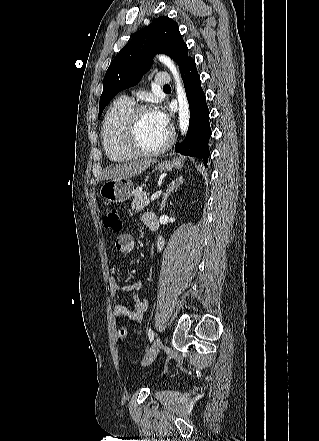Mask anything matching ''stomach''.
Instances as JSON below:
<instances>
[{
  "label": "stomach",
  "instance_id": "1",
  "mask_svg": "<svg viewBox=\"0 0 319 441\" xmlns=\"http://www.w3.org/2000/svg\"><path fill=\"white\" fill-rule=\"evenodd\" d=\"M182 161L178 158L172 162L164 161L158 164L156 169L160 172L171 171L173 168H181ZM134 192V184L128 179H109L101 186L100 196L108 203H121L128 200Z\"/></svg>",
  "mask_w": 319,
  "mask_h": 441
}]
</instances>
